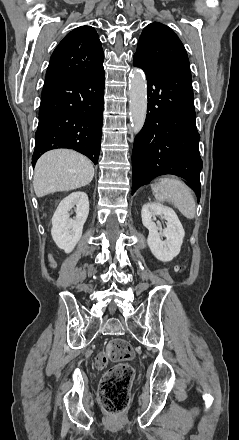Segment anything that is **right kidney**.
<instances>
[{"instance_id":"right-kidney-1","label":"right kidney","mask_w":239,"mask_h":440,"mask_svg":"<svg viewBox=\"0 0 239 440\" xmlns=\"http://www.w3.org/2000/svg\"><path fill=\"white\" fill-rule=\"evenodd\" d=\"M74 212L76 218H70L69 212ZM89 214V200L85 192H72L60 202L53 218L51 236L57 242L58 248L69 252L75 248L81 236L83 226Z\"/></svg>"}]
</instances>
